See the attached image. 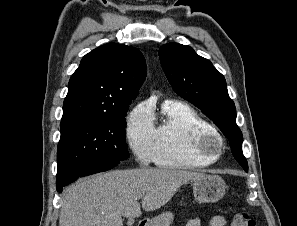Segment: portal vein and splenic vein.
Listing matches in <instances>:
<instances>
[{"instance_id":"18ae733b","label":"portal vein and splenic vein","mask_w":297,"mask_h":226,"mask_svg":"<svg viewBox=\"0 0 297 226\" xmlns=\"http://www.w3.org/2000/svg\"><path fill=\"white\" fill-rule=\"evenodd\" d=\"M140 199V197L139 198H136V200H139Z\"/></svg>"}]
</instances>
